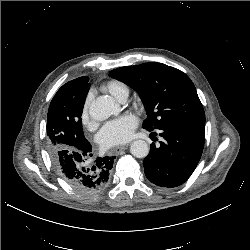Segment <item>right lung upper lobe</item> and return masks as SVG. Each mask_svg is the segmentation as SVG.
Returning a JSON list of instances; mask_svg holds the SVG:
<instances>
[{
    "mask_svg": "<svg viewBox=\"0 0 250 250\" xmlns=\"http://www.w3.org/2000/svg\"><path fill=\"white\" fill-rule=\"evenodd\" d=\"M84 77L86 76H83V77H80V78H77V79H74L68 83H66L65 85L62 86V89H70L72 88L73 86H75L81 79H83Z\"/></svg>",
    "mask_w": 250,
    "mask_h": 250,
    "instance_id": "obj_1",
    "label": "right lung upper lobe"
}]
</instances>
